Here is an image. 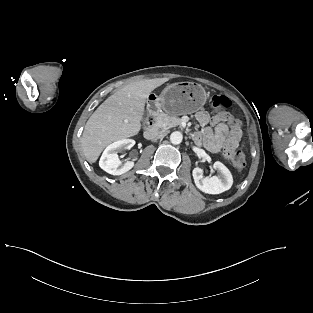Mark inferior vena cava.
<instances>
[{
	"mask_svg": "<svg viewBox=\"0 0 313 313\" xmlns=\"http://www.w3.org/2000/svg\"><path fill=\"white\" fill-rule=\"evenodd\" d=\"M167 131L166 130H152L151 133V140H157V139H162L167 135Z\"/></svg>",
	"mask_w": 313,
	"mask_h": 313,
	"instance_id": "1",
	"label": "inferior vena cava"
}]
</instances>
